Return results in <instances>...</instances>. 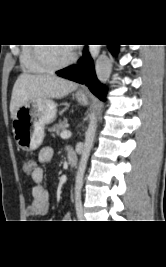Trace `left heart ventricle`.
Listing matches in <instances>:
<instances>
[{
  "label": "left heart ventricle",
  "instance_id": "obj_1",
  "mask_svg": "<svg viewBox=\"0 0 166 267\" xmlns=\"http://www.w3.org/2000/svg\"><path fill=\"white\" fill-rule=\"evenodd\" d=\"M45 52L48 58L53 61L54 63H63L67 61L73 50L69 46H46Z\"/></svg>",
  "mask_w": 166,
  "mask_h": 267
}]
</instances>
